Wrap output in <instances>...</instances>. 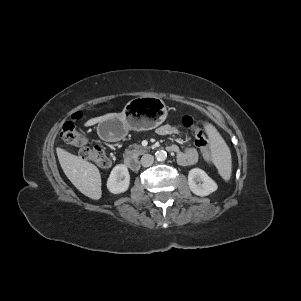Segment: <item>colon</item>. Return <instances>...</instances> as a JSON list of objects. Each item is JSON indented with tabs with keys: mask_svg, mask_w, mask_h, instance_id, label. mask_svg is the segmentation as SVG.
<instances>
[{
	"mask_svg": "<svg viewBox=\"0 0 301 301\" xmlns=\"http://www.w3.org/2000/svg\"><path fill=\"white\" fill-rule=\"evenodd\" d=\"M82 114L76 113L72 116V120L66 122L60 132L61 139L69 145L80 147L79 155L82 159L91 162L100 167L107 168L111 161L105 151L99 146L87 147V138L84 133L77 128L75 121L79 120ZM182 125L191 129L195 136V145L201 150L203 157L209 161L210 152L208 147V140L204 131L199 127L198 123L191 116H184L182 118Z\"/></svg>",
	"mask_w": 301,
	"mask_h": 301,
	"instance_id": "1",
	"label": "colon"
}]
</instances>
